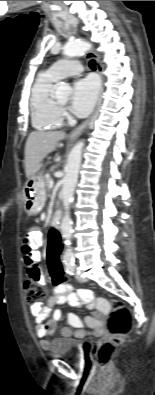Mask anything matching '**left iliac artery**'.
<instances>
[{
    "instance_id": "left-iliac-artery-1",
    "label": "left iliac artery",
    "mask_w": 155,
    "mask_h": 395,
    "mask_svg": "<svg viewBox=\"0 0 155 395\" xmlns=\"http://www.w3.org/2000/svg\"><path fill=\"white\" fill-rule=\"evenodd\" d=\"M65 266H66V272L70 275L74 274L75 270V260L74 258H70L68 260H65Z\"/></svg>"
}]
</instances>
